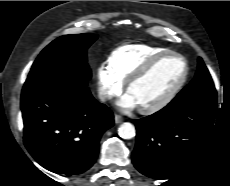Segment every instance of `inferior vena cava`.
Instances as JSON below:
<instances>
[{"label": "inferior vena cava", "instance_id": "602c4592", "mask_svg": "<svg viewBox=\"0 0 230 186\" xmlns=\"http://www.w3.org/2000/svg\"><path fill=\"white\" fill-rule=\"evenodd\" d=\"M112 98V95L109 94L108 91H100L99 92V99L102 101V102H105L106 100H109Z\"/></svg>", "mask_w": 230, "mask_h": 186}]
</instances>
